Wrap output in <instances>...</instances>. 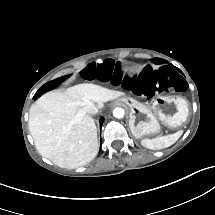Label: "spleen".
I'll list each match as a JSON object with an SVG mask.
<instances>
[{"instance_id": "1", "label": "spleen", "mask_w": 215, "mask_h": 215, "mask_svg": "<svg viewBox=\"0 0 215 215\" xmlns=\"http://www.w3.org/2000/svg\"><path fill=\"white\" fill-rule=\"evenodd\" d=\"M182 133V130H180L174 134L156 137L154 139H143L141 144L142 146L152 150L167 148L173 145L181 137Z\"/></svg>"}]
</instances>
